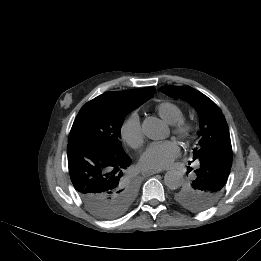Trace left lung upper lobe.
I'll use <instances>...</instances> for the list:
<instances>
[{"mask_svg": "<svg viewBox=\"0 0 261 261\" xmlns=\"http://www.w3.org/2000/svg\"><path fill=\"white\" fill-rule=\"evenodd\" d=\"M161 91L190 103L198 112L200 130L198 145L193 149V160L212 164L215 171L232 165V147L227 122L218 106L207 96L190 86H163ZM198 166V168H199ZM226 179L207 177L179 187L175 200L183 207L199 212L211 207L223 192Z\"/></svg>", "mask_w": 261, "mask_h": 261, "instance_id": "1", "label": "left lung upper lobe"}]
</instances>
